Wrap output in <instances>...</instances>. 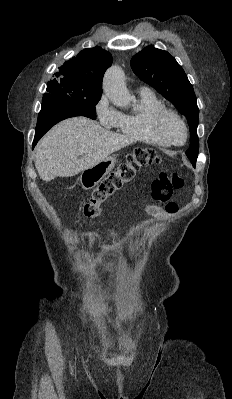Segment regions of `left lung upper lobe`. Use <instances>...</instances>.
<instances>
[{
  "label": "left lung upper lobe",
  "instance_id": "obj_1",
  "mask_svg": "<svg viewBox=\"0 0 232 399\" xmlns=\"http://www.w3.org/2000/svg\"><path fill=\"white\" fill-rule=\"evenodd\" d=\"M131 67L142 81L155 88L187 118L190 128V147L186 155L195 166L199 149L197 136L199 109L193 87L184 70L167 51L152 45L132 57Z\"/></svg>",
  "mask_w": 232,
  "mask_h": 399
}]
</instances>
